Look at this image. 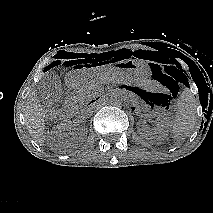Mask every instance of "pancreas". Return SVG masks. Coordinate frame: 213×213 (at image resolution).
<instances>
[{
  "label": "pancreas",
  "mask_w": 213,
  "mask_h": 213,
  "mask_svg": "<svg viewBox=\"0 0 213 213\" xmlns=\"http://www.w3.org/2000/svg\"><path fill=\"white\" fill-rule=\"evenodd\" d=\"M78 94L81 103L84 104L91 101L98 95L97 84L95 82L86 83L79 89Z\"/></svg>",
  "instance_id": "1"
}]
</instances>
